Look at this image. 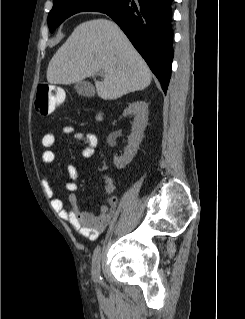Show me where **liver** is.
Wrapping results in <instances>:
<instances>
[{"label": "liver", "instance_id": "1", "mask_svg": "<svg viewBox=\"0 0 245 319\" xmlns=\"http://www.w3.org/2000/svg\"><path fill=\"white\" fill-rule=\"evenodd\" d=\"M104 71V80L96 81L97 94L113 100L143 90L152 73L120 27L99 18L79 24L57 50L47 68L50 84L68 85Z\"/></svg>", "mask_w": 245, "mask_h": 319}]
</instances>
